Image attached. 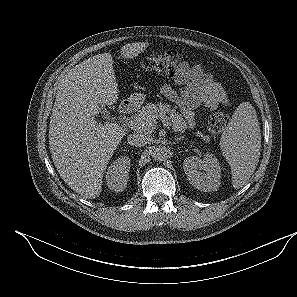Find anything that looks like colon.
<instances>
[{
  "label": "colon",
  "mask_w": 297,
  "mask_h": 297,
  "mask_svg": "<svg viewBox=\"0 0 297 297\" xmlns=\"http://www.w3.org/2000/svg\"><path fill=\"white\" fill-rule=\"evenodd\" d=\"M182 63V55L177 51L155 53L142 61L145 70L159 73L166 77H173ZM228 115L223 111H215L207 120L208 131L212 135H220L227 127Z\"/></svg>",
  "instance_id": "obj_1"
}]
</instances>
